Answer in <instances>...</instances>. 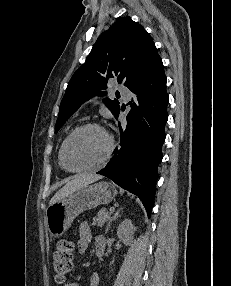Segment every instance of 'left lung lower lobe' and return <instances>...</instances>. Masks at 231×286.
Masks as SVG:
<instances>
[{"label": "left lung lower lobe", "mask_w": 231, "mask_h": 286, "mask_svg": "<svg viewBox=\"0 0 231 286\" xmlns=\"http://www.w3.org/2000/svg\"><path fill=\"white\" fill-rule=\"evenodd\" d=\"M128 88L136 99L130 102L126 128L119 123L120 147L115 149L106 167L97 173L137 195L150 217L168 119L166 76L161 58Z\"/></svg>", "instance_id": "1"}]
</instances>
